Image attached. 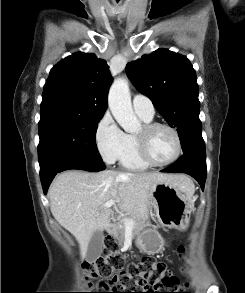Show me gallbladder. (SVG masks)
I'll list each match as a JSON object with an SVG mask.
<instances>
[{
	"label": "gallbladder",
	"instance_id": "obj_1",
	"mask_svg": "<svg viewBox=\"0 0 245 293\" xmlns=\"http://www.w3.org/2000/svg\"><path fill=\"white\" fill-rule=\"evenodd\" d=\"M103 242V232L100 230L95 231L90 238L85 256L88 262H94L100 257L102 253Z\"/></svg>",
	"mask_w": 245,
	"mask_h": 293
}]
</instances>
